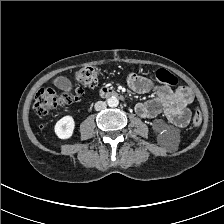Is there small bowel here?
Returning <instances> with one entry per match:
<instances>
[{
    "label": "small bowel",
    "mask_w": 224,
    "mask_h": 224,
    "mask_svg": "<svg viewBox=\"0 0 224 224\" xmlns=\"http://www.w3.org/2000/svg\"><path fill=\"white\" fill-rule=\"evenodd\" d=\"M126 83L138 93H145L153 88L150 81L135 73L127 75ZM54 85L63 92L72 91L71 82L65 77L55 79ZM193 98V91L189 87L171 89L168 86H159L155 89V98L138 103L135 111L143 118H154L163 114L173 125L182 128L189 123L190 112L187 107Z\"/></svg>",
    "instance_id": "1"
}]
</instances>
